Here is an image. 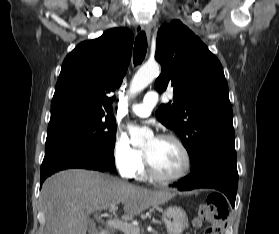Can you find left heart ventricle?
<instances>
[{
    "instance_id": "obj_1",
    "label": "left heart ventricle",
    "mask_w": 279,
    "mask_h": 234,
    "mask_svg": "<svg viewBox=\"0 0 279 234\" xmlns=\"http://www.w3.org/2000/svg\"><path fill=\"white\" fill-rule=\"evenodd\" d=\"M143 150L148 153L156 172L162 176H175L183 168V154L172 141L151 138Z\"/></svg>"
}]
</instances>
